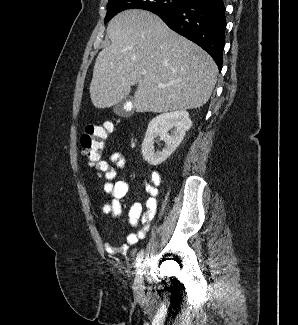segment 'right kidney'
I'll return each mask as SVG.
<instances>
[{
	"label": "right kidney",
	"mask_w": 298,
	"mask_h": 325,
	"mask_svg": "<svg viewBox=\"0 0 298 325\" xmlns=\"http://www.w3.org/2000/svg\"><path fill=\"white\" fill-rule=\"evenodd\" d=\"M190 126H192V120L187 110H173V112H163V114L154 116L148 124L141 146L144 160H147L149 165H161L183 140ZM157 136L165 142L162 150H154Z\"/></svg>",
	"instance_id": "ca27d5eb"
}]
</instances>
